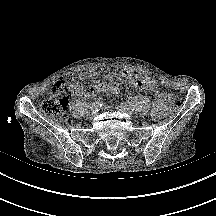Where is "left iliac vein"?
Instances as JSON below:
<instances>
[{"mask_svg":"<svg viewBox=\"0 0 216 216\" xmlns=\"http://www.w3.org/2000/svg\"><path fill=\"white\" fill-rule=\"evenodd\" d=\"M116 108L122 112L129 114L132 117L134 116V112H132L127 106L118 105Z\"/></svg>","mask_w":216,"mask_h":216,"instance_id":"4c4485c4","label":"left iliac vein"}]
</instances>
